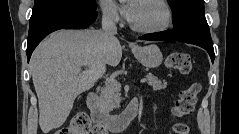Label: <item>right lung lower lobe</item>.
Listing matches in <instances>:
<instances>
[{
	"mask_svg": "<svg viewBox=\"0 0 239 134\" xmlns=\"http://www.w3.org/2000/svg\"><path fill=\"white\" fill-rule=\"evenodd\" d=\"M97 14L96 10L75 5H61L31 18L27 44L28 62L33 50L46 35L59 29L87 28L96 20Z\"/></svg>",
	"mask_w": 239,
	"mask_h": 134,
	"instance_id": "right-lung-lower-lobe-1",
	"label": "right lung lower lobe"
}]
</instances>
